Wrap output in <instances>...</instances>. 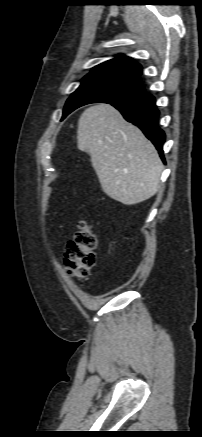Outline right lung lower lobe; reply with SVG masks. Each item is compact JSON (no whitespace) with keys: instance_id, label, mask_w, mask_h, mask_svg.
<instances>
[{"instance_id":"obj_1","label":"right lung lower lobe","mask_w":202,"mask_h":437,"mask_svg":"<svg viewBox=\"0 0 202 437\" xmlns=\"http://www.w3.org/2000/svg\"><path fill=\"white\" fill-rule=\"evenodd\" d=\"M117 108L124 118L138 126L145 136L155 145L160 157L165 162L162 144L165 134L157 126L159 111L156 108L155 98L150 94H143L133 99H124L110 103Z\"/></svg>"}]
</instances>
